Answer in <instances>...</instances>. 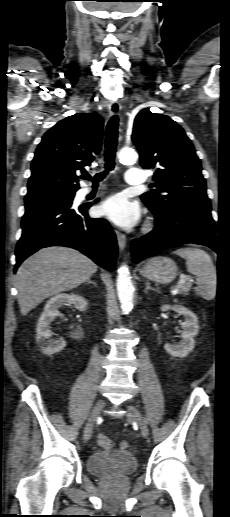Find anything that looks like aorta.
Listing matches in <instances>:
<instances>
[{
  "instance_id": "aorta-1",
  "label": "aorta",
  "mask_w": 230,
  "mask_h": 517,
  "mask_svg": "<svg viewBox=\"0 0 230 517\" xmlns=\"http://www.w3.org/2000/svg\"><path fill=\"white\" fill-rule=\"evenodd\" d=\"M118 158L122 163H135L137 160V154L131 148H123L118 153ZM116 286L121 308L125 313H128L133 307L134 289L132 286L130 272L126 265H122L118 269Z\"/></svg>"
}]
</instances>
